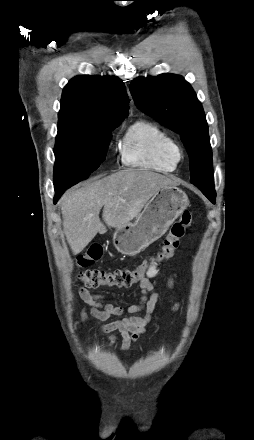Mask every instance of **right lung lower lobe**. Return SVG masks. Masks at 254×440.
Here are the masks:
<instances>
[{
    "label": "right lung lower lobe",
    "instance_id": "right-lung-lower-lobe-1",
    "mask_svg": "<svg viewBox=\"0 0 254 440\" xmlns=\"http://www.w3.org/2000/svg\"><path fill=\"white\" fill-rule=\"evenodd\" d=\"M67 188H69L68 185L55 186L56 194H55V197H54V203L57 202V200L60 198V196L63 194V192H64Z\"/></svg>",
    "mask_w": 254,
    "mask_h": 440
}]
</instances>
